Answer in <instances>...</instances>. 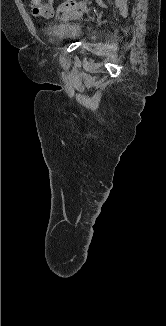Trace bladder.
I'll return each instance as SVG.
<instances>
[{
	"label": "bladder",
	"mask_w": 166,
	"mask_h": 326,
	"mask_svg": "<svg viewBox=\"0 0 166 326\" xmlns=\"http://www.w3.org/2000/svg\"><path fill=\"white\" fill-rule=\"evenodd\" d=\"M51 33L61 39H80L83 36L82 29L70 21L59 20L51 25Z\"/></svg>",
	"instance_id": "obj_1"
}]
</instances>
